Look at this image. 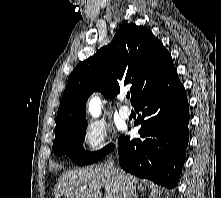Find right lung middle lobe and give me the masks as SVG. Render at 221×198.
Returning <instances> with one entry per match:
<instances>
[{"label": "right lung middle lobe", "mask_w": 221, "mask_h": 198, "mask_svg": "<svg viewBox=\"0 0 221 198\" xmlns=\"http://www.w3.org/2000/svg\"><path fill=\"white\" fill-rule=\"evenodd\" d=\"M86 126L87 124L55 136L53 142L54 154L58 156L66 155L78 165H88L100 160L114 149V144H109L97 152L85 151L81 143L84 142Z\"/></svg>", "instance_id": "dd1d6c3e"}]
</instances>
